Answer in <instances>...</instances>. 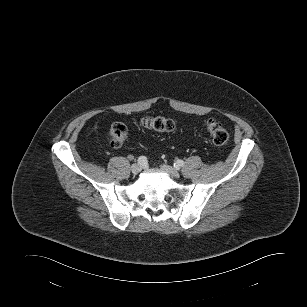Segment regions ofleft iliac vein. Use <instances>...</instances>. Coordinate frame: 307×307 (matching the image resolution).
<instances>
[{"label":"left iliac vein","instance_id":"1","mask_svg":"<svg viewBox=\"0 0 307 307\" xmlns=\"http://www.w3.org/2000/svg\"><path fill=\"white\" fill-rule=\"evenodd\" d=\"M161 169L166 172L167 174H169L172 178H178L179 177V173L178 171L173 168L172 166L163 164L161 165Z\"/></svg>","mask_w":307,"mask_h":307}]
</instances>
